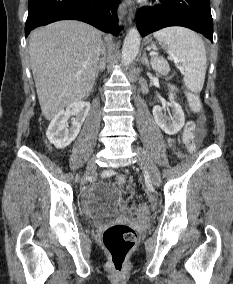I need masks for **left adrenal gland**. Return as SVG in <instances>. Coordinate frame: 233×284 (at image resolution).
<instances>
[{
    "mask_svg": "<svg viewBox=\"0 0 233 284\" xmlns=\"http://www.w3.org/2000/svg\"><path fill=\"white\" fill-rule=\"evenodd\" d=\"M141 63L144 64V65H146L147 68L150 69L149 61H148V58H147L145 52L143 53Z\"/></svg>",
    "mask_w": 233,
    "mask_h": 284,
    "instance_id": "obj_1",
    "label": "left adrenal gland"
}]
</instances>
